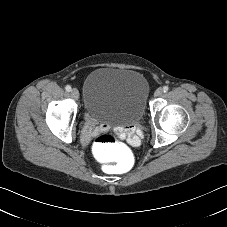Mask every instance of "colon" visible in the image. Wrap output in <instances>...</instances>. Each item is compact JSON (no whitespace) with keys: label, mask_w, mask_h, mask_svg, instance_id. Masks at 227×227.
<instances>
[{"label":"colon","mask_w":227,"mask_h":227,"mask_svg":"<svg viewBox=\"0 0 227 227\" xmlns=\"http://www.w3.org/2000/svg\"><path fill=\"white\" fill-rule=\"evenodd\" d=\"M99 160L106 166H112L118 174H126L130 169L129 150L111 133L100 134L93 142Z\"/></svg>","instance_id":"colon-1"}]
</instances>
